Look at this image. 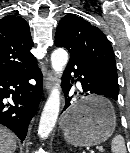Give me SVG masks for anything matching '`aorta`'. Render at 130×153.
I'll use <instances>...</instances> for the list:
<instances>
[{
  "instance_id": "obj_1",
  "label": "aorta",
  "mask_w": 130,
  "mask_h": 153,
  "mask_svg": "<svg viewBox=\"0 0 130 153\" xmlns=\"http://www.w3.org/2000/svg\"><path fill=\"white\" fill-rule=\"evenodd\" d=\"M67 62L68 53L65 49L58 48L51 54V65L58 77L62 74ZM59 82L60 80L57 79L42 111L38 127L40 138H47L56 124L60 109Z\"/></svg>"
}]
</instances>
